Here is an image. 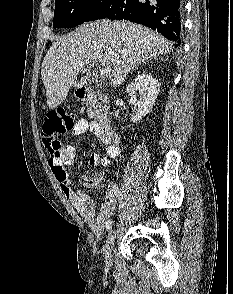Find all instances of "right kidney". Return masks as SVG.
Segmentation results:
<instances>
[{
  "label": "right kidney",
  "instance_id": "obj_1",
  "mask_svg": "<svg viewBox=\"0 0 233 294\" xmlns=\"http://www.w3.org/2000/svg\"><path fill=\"white\" fill-rule=\"evenodd\" d=\"M159 92L158 80L148 72L139 73L128 84L126 93L131 97L130 103L136 107V114L132 117V122L140 121L152 110ZM137 96H139V99H137Z\"/></svg>",
  "mask_w": 233,
  "mask_h": 294
}]
</instances>
